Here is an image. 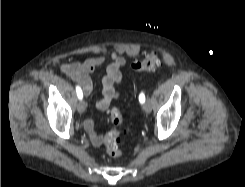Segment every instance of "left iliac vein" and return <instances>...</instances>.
I'll use <instances>...</instances> for the list:
<instances>
[{
	"label": "left iliac vein",
	"instance_id": "4c4485c4",
	"mask_svg": "<svg viewBox=\"0 0 245 187\" xmlns=\"http://www.w3.org/2000/svg\"><path fill=\"white\" fill-rule=\"evenodd\" d=\"M143 110L148 114L151 112V102L149 100H147L144 104H143Z\"/></svg>",
	"mask_w": 245,
	"mask_h": 187
}]
</instances>
